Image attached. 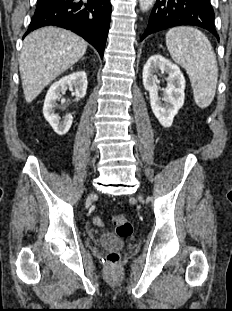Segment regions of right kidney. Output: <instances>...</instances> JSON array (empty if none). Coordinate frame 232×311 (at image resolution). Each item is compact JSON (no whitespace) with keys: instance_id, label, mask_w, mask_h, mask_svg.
Instances as JSON below:
<instances>
[{"instance_id":"1","label":"right kidney","mask_w":232,"mask_h":311,"mask_svg":"<svg viewBox=\"0 0 232 311\" xmlns=\"http://www.w3.org/2000/svg\"><path fill=\"white\" fill-rule=\"evenodd\" d=\"M87 84L86 73L79 71L61 78L50 86L45 97L43 115L56 134L60 136L65 135L73 122L71 114H67L63 121H60L58 115L55 114L54 107L56 106L57 99L61 97V93H64L68 87H74L75 95L83 98L86 95Z\"/></svg>"}]
</instances>
